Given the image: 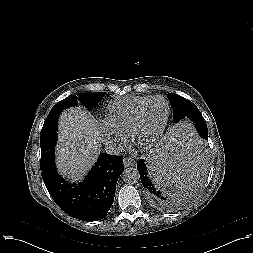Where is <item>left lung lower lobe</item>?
I'll return each instance as SVG.
<instances>
[{
  "instance_id": "obj_1",
  "label": "left lung lower lobe",
  "mask_w": 253,
  "mask_h": 253,
  "mask_svg": "<svg viewBox=\"0 0 253 253\" xmlns=\"http://www.w3.org/2000/svg\"><path fill=\"white\" fill-rule=\"evenodd\" d=\"M188 157L192 167L188 173L181 174L178 177V181L180 180L182 183L173 188L174 192L168 189L164 179L161 181L156 180L151 171L148 174L147 169H149V165L148 163L146 164L144 159L138 161L137 170L139 171L142 185L147 189L149 202L154 208L163 211L174 209L194 193L202 180L203 171L206 167V157L201 140L196 139L193 141L190 145Z\"/></svg>"
}]
</instances>
